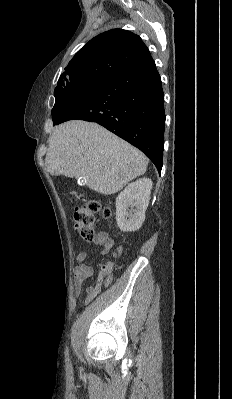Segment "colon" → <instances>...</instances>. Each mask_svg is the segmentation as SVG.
I'll return each instance as SVG.
<instances>
[{
    "label": "colon",
    "instance_id": "obj_1",
    "mask_svg": "<svg viewBox=\"0 0 232 399\" xmlns=\"http://www.w3.org/2000/svg\"><path fill=\"white\" fill-rule=\"evenodd\" d=\"M95 211V214H92ZM105 215L102 212V205L97 204L96 200L88 202L87 206L82 209H74V231H80L81 239H92L93 231V219H98V215ZM117 221V213H112V220H108V225H113V222ZM79 226H81L79 228ZM112 258H117V252H112ZM114 267H119V262H114ZM107 285H113V268H108L105 273L98 274L96 283H92L93 296L97 297L98 292L101 290H107Z\"/></svg>",
    "mask_w": 232,
    "mask_h": 399
}]
</instances>
